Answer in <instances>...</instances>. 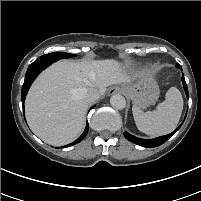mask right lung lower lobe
Returning <instances> with one entry per match:
<instances>
[{
    "label": "right lung lower lobe",
    "instance_id": "right-lung-lower-lobe-1",
    "mask_svg": "<svg viewBox=\"0 0 201 201\" xmlns=\"http://www.w3.org/2000/svg\"><path fill=\"white\" fill-rule=\"evenodd\" d=\"M58 59L55 57H50L47 55H43L41 57H39L38 59H36L29 67L28 70L26 72L25 75V80H24V84L22 87V103L24 104V100L26 97V94L32 84V82L35 80V78L37 77V75L44 70L46 67H48L50 64L54 63L55 61H57ZM88 133V123L86 125V128L83 132V134L73 143L68 144L67 146L64 147H69L72 145H75L77 143H79L80 141H82L85 136Z\"/></svg>",
    "mask_w": 201,
    "mask_h": 201
}]
</instances>
